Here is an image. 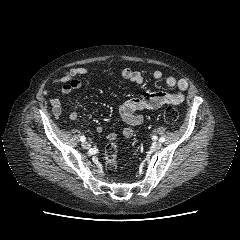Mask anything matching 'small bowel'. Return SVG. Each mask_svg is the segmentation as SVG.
I'll return each mask as SVG.
<instances>
[{"instance_id": "obj_1", "label": "small bowel", "mask_w": 240, "mask_h": 240, "mask_svg": "<svg viewBox=\"0 0 240 240\" xmlns=\"http://www.w3.org/2000/svg\"><path fill=\"white\" fill-rule=\"evenodd\" d=\"M89 70L84 67H76L67 70L61 77L53 80L54 84H61L60 95L66 96L81 87L80 77L88 76ZM121 76L132 83L142 84L144 77L139 71H135L130 68H124L121 71ZM154 79H162L163 73L160 70H155L152 73ZM165 84L169 88H176L173 93L157 91L152 92L142 98H131L119 105V113L126 126L123 127L121 133L125 138L132 137L134 126H139L144 122V117L140 113L141 111H153L161 108L163 105H175L178 106L184 101V93L188 89L189 84L185 79H177L174 76H167L165 78ZM50 104L52 112L56 117L62 116V104L60 97H51ZM69 119L76 121L78 114L71 112L68 115ZM97 132H102L103 127L101 125L96 127ZM108 140H115L116 133L111 132L107 136Z\"/></svg>"}]
</instances>
